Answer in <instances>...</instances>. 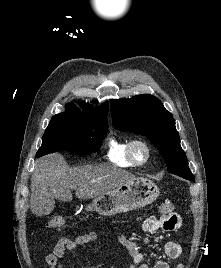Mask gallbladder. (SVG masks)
<instances>
[{
    "label": "gallbladder",
    "mask_w": 221,
    "mask_h": 268,
    "mask_svg": "<svg viewBox=\"0 0 221 268\" xmlns=\"http://www.w3.org/2000/svg\"><path fill=\"white\" fill-rule=\"evenodd\" d=\"M55 202L53 199H33L31 210L35 213V217H46L47 213H52Z\"/></svg>",
    "instance_id": "bac80fb5"
}]
</instances>
